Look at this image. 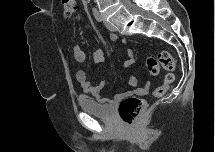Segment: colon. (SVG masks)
Wrapping results in <instances>:
<instances>
[{"instance_id":"1","label":"colon","mask_w":215,"mask_h":152,"mask_svg":"<svg viewBox=\"0 0 215 152\" xmlns=\"http://www.w3.org/2000/svg\"><path fill=\"white\" fill-rule=\"evenodd\" d=\"M63 12L66 17L72 16L77 10V3L75 0L62 1ZM146 64L149 72L152 75H158L160 66L166 71L167 75L162 84H160L154 91L155 97L164 96L170 89L171 84L175 79L174 72L176 70V63L167 51H161L156 57L149 56L146 59ZM146 107V100L140 97L129 96L124 98L119 105L120 118L126 124H133L137 117Z\"/></svg>"}]
</instances>
